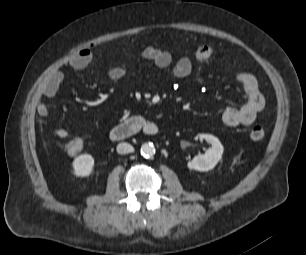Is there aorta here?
Masks as SVG:
<instances>
[{"instance_id":"obj_1","label":"aorta","mask_w":306,"mask_h":255,"mask_svg":"<svg viewBox=\"0 0 306 255\" xmlns=\"http://www.w3.org/2000/svg\"><path fill=\"white\" fill-rule=\"evenodd\" d=\"M155 154V147L153 143H144L141 146V155L144 156L145 158H149L154 156Z\"/></svg>"}]
</instances>
